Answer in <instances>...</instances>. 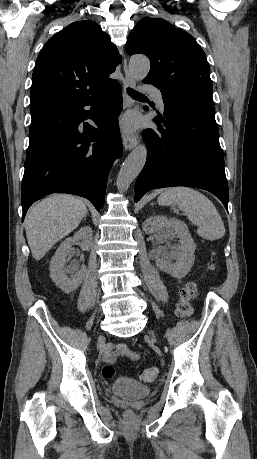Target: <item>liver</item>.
Listing matches in <instances>:
<instances>
[{"instance_id": "liver-1", "label": "liver", "mask_w": 257, "mask_h": 459, "mask_svg": "<svg viewBox=\"0 0 257 459\" xmlns=\"http://www.w3.org/2000/svg\"><path fill=\"white\" fill-rule=\"evenodd\" d=\"M87 215L82 200L67 194L45 198L28 212L25 230L35 260H40L59 240L75 230Z\"/></svg>"}]
</instances>
